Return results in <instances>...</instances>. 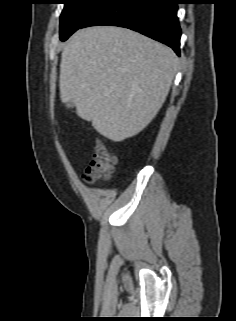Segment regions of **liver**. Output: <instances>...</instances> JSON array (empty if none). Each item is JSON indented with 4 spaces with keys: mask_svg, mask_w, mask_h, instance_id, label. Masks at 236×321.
<instances>
[{
    "mask_svg": "<svg viewBox=\"0 0 236 321\" xmlns=\"http://www.w3.org/2000/svg\"><path fill=\"white\" fill-rule=\"evenodd\" d=\"M173 50L135 31L80 29L64 46L59 88L63 103L114 142L137 135L157 115L177 71Z\"/></svg>",
    "mask_w": 236,
    "mask_h": 321,
    "instance_id": "obj_1",
    "label": "liver"
}]
</instances>
